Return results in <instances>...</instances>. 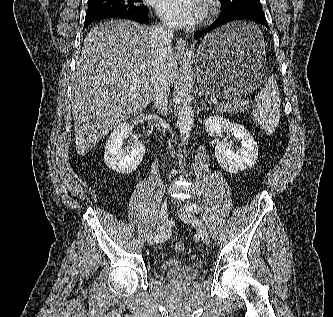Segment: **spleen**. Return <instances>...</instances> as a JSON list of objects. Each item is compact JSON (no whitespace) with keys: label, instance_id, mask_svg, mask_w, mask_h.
I'll use <instances>...</instances> for the list:
<instances>
[{"label":"spleen","instance_id":"3e777b00","mask_svg":"<svg viewBox=\"0 0 333 317\" xmlns=\"http://www.w3.org/2000/svg\"><path fill=\"white\" fill-rule=\"evenodd\" d=\"M255 101L257 107L252 112L253 120L266 134L271 135L279 124L281 106L280 93L273 76L267 78L264 88L257 94Z\"/></svg>","mask_w":333,"mask_h":317}]
</instances>
